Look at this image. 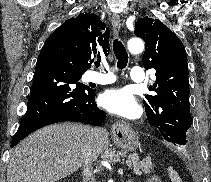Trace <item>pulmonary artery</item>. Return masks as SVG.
<instances>
[{"mask_svg": "<svg viewBox=\"0 0 211 182\" xmlns=\"http://www.w3.org/2000/svg\"><path fill=\"white\" fill-rule=\"evenodd\" d=\"M131 78L133 81L143 82L145 78L143 68L140 66L133 67L131 70ZM89 80L98 84H107L113 82L115 80V76L109 71L106 73L93 72L89 76Z\"/></svg>", "mask_w": 211, "mask_h": 182, "instance_id": "e3ab8cb5", "label": "pulmonary artery"}]
</instances>
